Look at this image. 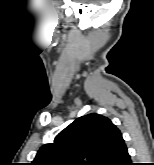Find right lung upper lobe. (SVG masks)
I'll return each mask as SVG.
<instances>
[{
  "label": "right lung upper lobe",
  "mask_w": 154,
  "mask_h": 165,
  "mask_svg": "<svg viewBox=\"0 0 154 165\" xmlns=\"http://www.w3.org/2000/svg\"><path fill=\"white\" fill-rule=\"evenodd\" d=\"M120 130L102 115L82 116L43 145L31 165H101Z\"/></svg>",
  "instance_id": "cb5924a9"
}]
</instances>
